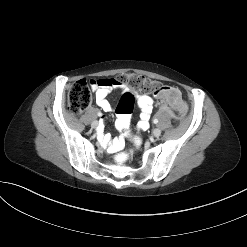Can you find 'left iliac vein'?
Masks as SVG:
<instances>
[{
  "label": "left iliac vein",
  "mask_w": 247,
  "mask_h": 247,
  "mask_svg": "<svg viewBox=\"0 0 247 247\" xmlns=\"http://www.w3.org/2000/svg\"><path fill=\"white\" fill-rule=\"evenodd\" d=\"M161 135V130L159 128H155L153 130V136L159 137Z\"/></svg>",
  "instance_id": "left-iliac-vein-1"
}]
</instances>
